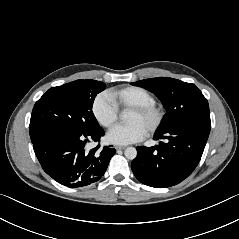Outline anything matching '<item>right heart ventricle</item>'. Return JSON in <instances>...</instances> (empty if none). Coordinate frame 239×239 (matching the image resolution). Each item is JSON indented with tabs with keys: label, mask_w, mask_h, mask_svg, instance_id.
I'll list each match as a JSON object with an SVG mask.
<instances>
[{
	"label": "right heart ventricle",
	"mask_w": 239,
	"mask_h": 239,
	"mask_svg": "<svg viewBox=\"0 0 239 239\" xmlns=\"http://www.w3.org/2000/svg\"><path fill=\"white\" fill-rule=\"evenodd\" d=\"M108 95L115 105L121 109L155 104V97L148 90L137 86L110 91Z\"/></svg>",
	"instance_id": "1"
}]
</instances>
